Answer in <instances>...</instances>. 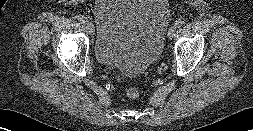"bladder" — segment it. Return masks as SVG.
I'll list each match as a JSON object with an SVG mask.
<instances>
[{"instance_id":"1","label":"bladder","mask_w":253,"mask_h":131,"mask_svg":"<svg viewBox=\"0 0 253 131\" xmlns=\"http://www.w3.org/2000/svg\"><path fill=\"white\" fill-rule=\"evenodd\" d=\"M93 16L100 63L136 76L161 54L170 16L165 0H99Z\"/></svg>"}]
</instances>
